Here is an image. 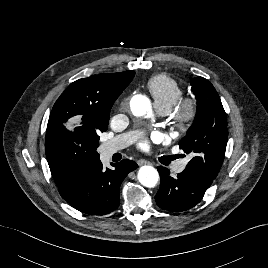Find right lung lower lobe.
<instances>
[{
    "mask_svg": "<svg viewBox=\"0 0 268 268\" xmlns=\"http://www.w3.org/2000/svg\"><path fill=\"white\" fill-rule=\"evenodd\" d=\"M103 168L100 159L78 178L74 188L64 198L77 210L90 215H104L119 206V187L129 172L138 165L128 159Z\"/></svg>",
    "mask_w": 268,
    "mask_h": 268,
    "instance_id": "right-lung-lower-lobe-1",
    "label": "right lung lower lobe"
}]
</instances>
